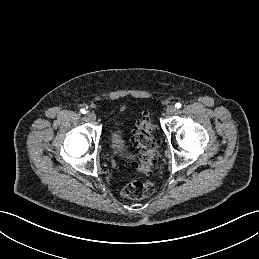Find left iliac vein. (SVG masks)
I'll list each match as a JSON object with an SVG mask.
<instances>
[{
  "mask_svg": "<svg viewBox=\"0 0 259 259\" xmlns=\"http://www.w3.org/2000/svg\"><path fill=\"white\" fill-rule=\"evenodd\" d=\"M174 112H175V108L173 106H169L166 110V114L169 116L174 114Z\"/></svg>",
  "mask_w": 259,
  "mask_h": 259,
  "instance_id": "left-iliac-vein-1",
  "label": "left iliac vein"
}]
</instances>
